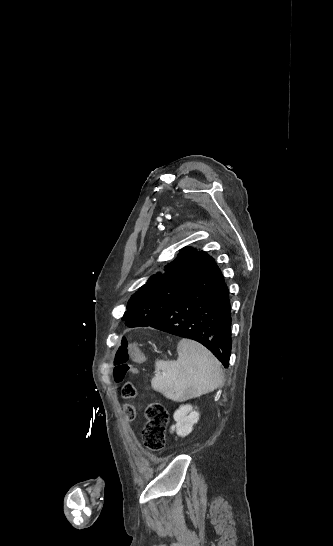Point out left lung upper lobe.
<instances>
[{
  "mask_svg": "<svg viewBox=\"0 0 333 546\" xmlns=\"http://www.w3.org/2000/svg\"><path fill=\"white\" fill-rule=\"evenodd\" d=\"M209 258L203 251L191 248L181 251L177 259L166 266L165 273L153 275L131 296L122 319L136 316L141 326L155 322L160 311L189 288Z\"/></svg>",
  "mask_w": 333,
  "mask_h": 546,
  "instance_id": "obj_1",
  "label": "left lung upper lobe"
}]
</instances>
